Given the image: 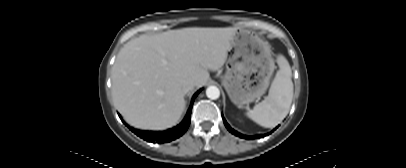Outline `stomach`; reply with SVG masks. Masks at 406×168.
I'll return each instance as SVG.
<instances>
[{
	"mask_svg": "<svg viewBox=\"0 0 406 168\" xmlns=\"http://www.w3.org/2000/svg\"><path fill=\"white\" fill-rule=\"evenodd\" d=\"M227 57L222 85L231 101L243 107L263 96L275 69L270 46L253 32L237 29Z\"/></svg>",
	"mask_w": 406,
	"mask_h": 168,
	"instance_id": "1",
	"label": "stomach"
}]
</instances>
